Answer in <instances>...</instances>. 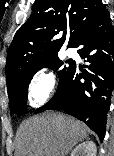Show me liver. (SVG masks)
<instances>
[{
	"mask_svg": "<svg viewBox=\"0 0 114 156\" xmlns=\"http://www.w3.org/2000/svg\"><path fill=\"white\" fill-rule=\"evenodd\" d=\"M88 131L84 123L63 114L33 116L17 131L15 156H66Z\"/></svg>",
	"mask_w": 114,
	"mask_h": 156,
	"instance_id": "obj_1",
	"label": "liver"
}]
</instances>
